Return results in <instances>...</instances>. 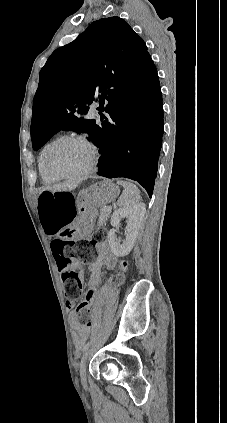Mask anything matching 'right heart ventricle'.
<instances>
[{
	"instance_id": "e07e8e85",
	"label": "right heart ventricle",
	"mask_w": 227,
	"mask_h": 423,
	"mask_svg": "<svg viewBox=\"0 0 227 423\" xmlns=\"http://www.w3.org/2000/svg\"><path fill=\"white\" fill-rule=\"evenodd\" d=\"M59 138H60V136L54 137L53 139L48 141L46 144H44V146L41 148V150L38 154V158H37L38 171H39V175L42 179V182L44 184H53V183L59 181V178L51 175L46 170L45 165H44V155H45L46 150L50 147V145H52Z\"/></svg>"
}]
</instances>
